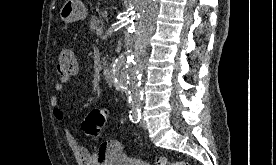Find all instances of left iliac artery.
<instances>
[{"label": "left iliac artery", "mask_w": 276, "mask_h": 165, "mask_svg": "<svg viewBox=\"0 0 276 165\" xmlns=\"http://www.w3.org/2000/svg\"><path fill=\"white\" fill-rule=\"evenodd\" d=\"M129 103H130V111H129L130 120L133 123H138L141 118V115H140L141 101L133 99V100L129 101Z\"/></svg>", "instance_id": "1"}]
</instances>
